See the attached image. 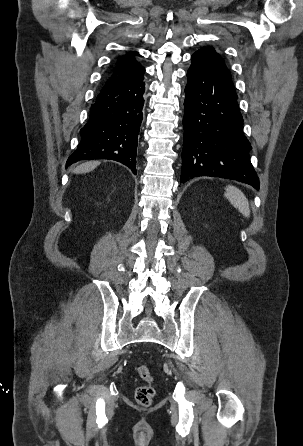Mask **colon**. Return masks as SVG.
<instances>
[{
    "label": "colon",
    "instance_id": "colon-1",
    "mask_svg": "<svg viewBox=\"0 0 303 446\" xmlns=\"http://www.w3.org/2000/svg\"><path fill=\"white\" fill-rule=\"evenodd\" d=\"M137 372L143 381V384L137 387L135 391V399L139 405L147 407L151 405L156 395L154 378L147 365H140Z\"/></svg>",
    "mask_w": 303,
    "mask_h": 446
}]
</instances>
